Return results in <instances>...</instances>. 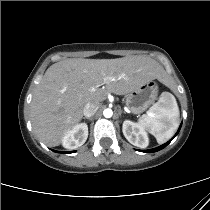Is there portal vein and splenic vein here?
<instances>
[{"instance_id": "1", "label": "portal vein and splenic vein", "mask_w": 210, "mask_h": 210, "mask_svg": "<svg viewBox=\"0 0 210 210\" xmlns=\"http://www.w3.org/2000/svg\"><path fill=\"white\" fill-rule=\"evenodd\" d=\"M107 80L108 81H114V78L113 77H108V78L105 79V81H107Z\"/></svg>"}]
</instances>
